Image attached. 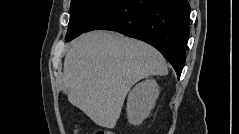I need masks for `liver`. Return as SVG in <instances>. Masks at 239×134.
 I'll return each mask as SVG.
<instances>
[{
    "label": "liver",
    "mask_w": 239,
    "mask_h": 134,
    "mask_svg": "<svg viewBox=\"0 0 239 134\" xmlns=\"http://www.w3.org/2000/svg\"><path fill=\"white\" fill-rule=\"evenodd\" d=\"M167 74L165 59L152 46L117 33L93 31L75 40L66 54L63 83L70 89L72 105L111 129L136 82Z\"/></svg>",
    "instance_id": "1"
}]
</instances>
